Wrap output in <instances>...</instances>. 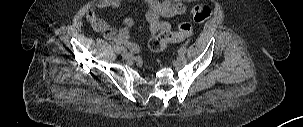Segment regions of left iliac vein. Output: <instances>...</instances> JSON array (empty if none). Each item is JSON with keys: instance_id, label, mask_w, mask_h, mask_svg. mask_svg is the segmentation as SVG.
Returning <instances> with one entry per match:
<instances>
[{"instance_id": "obj_1", "label": "left iliac vein", "mask_w": 303, "mask_h": 127, "mask_svg": "<svg viewBox=\"0 0 303 127\" xmlns=\"http://www.w3.org/2000/svg\"><path fill=\"white\" fill-rule=\"evenodd\" d=\"M184 59H185L184 54H180V56H179V61H183Z\"/></svg>"}]
</instances>
